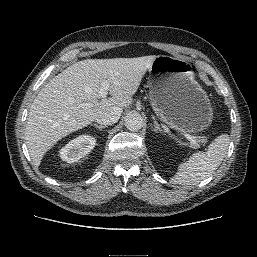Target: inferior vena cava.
<instances>
[{
    "label": "inferior vena cava",
    "instance_id": "602c4592",
    "mask_svg": "<svg viewBox=\"0 0 257 257\" xmlns=\"http://www.w3.org/2000/svg\"><path fill=\"white\" fill-rule=\"evenodd\" d=\"M121 113V108L111 107L98 113L95 120L101 125H111L119 120Z\"/></svg>",
    "mask_w": 257,
    "mask_h": 257
}]
</instances>
